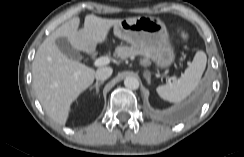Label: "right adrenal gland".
Here are the masks:
<instances>
[{
  "label": "right adrenal gland",
  "mask_w": 244,
  "mask_h": 157,
  "mask_svg": "<svg viewBox=\"0 0 244 157\" xmlns=\"http://www.w3.org/2000/svg\"><path fill=\"white\" fill-rule=\"evenodd\" d=\"M104 83V81H100V82H96L95 83V85H93L92 87H90V91L93 89V88H95L96 89V94L98 95V93H99V87H100V85H102Z\"/></svg>",
  "instance_id": "obj_1"
}]
</instances>
